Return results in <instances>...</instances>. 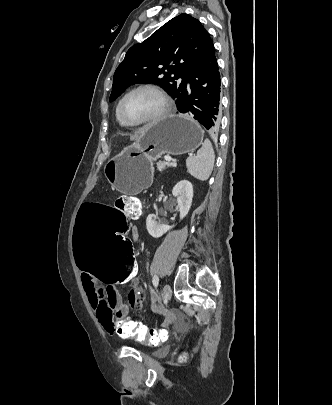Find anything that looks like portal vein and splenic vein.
Returning a JSON list of instances; mask_svg holds the SVG:
<instances>
[{
    "instance_id": "18ae733b",
    "label": "portal vein and splenic vein",
    "mask_w": 332,
    "mask_h": 405,
    "mask_svg": "<svg viewBox=\"0 0 332 405\" xmlns=\"http://www.w3.org/2000/svg\"><path fill=\"white\" fill-rule=\"evenodd\" d=\"M165 160L170 163V166H172V167L177 166L176 162L171 157L165 156Z\"/></svg>"
}]
</instances>
